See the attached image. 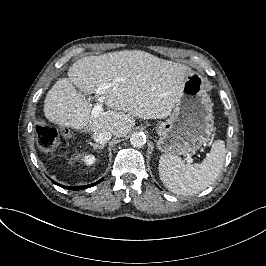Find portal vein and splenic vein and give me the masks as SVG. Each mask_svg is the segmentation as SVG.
Instances as JSON below:
<instances>
[{
    "mask_svg": "<svg viewBox=\"0 0 266 266\" xmlns=\"http://www.w3.org/2000/svg\"><path fill=\"white\" fill-rule=\"evenodd\" d=\"M115 84H116L115 81H113V82H111V83H105V84L101 85V86L98 88V91L95 92V93L93 94V100L96 101V104L93 106V109H92V115H93L94 117L98 116L100 113L103 112V110H104V104L106 103V98L100 95L101 92H102L104 89H106V88H108V87H112V86L115 85ZM192 162H193L192 159H187V160H186V163H187L188 165H190Z\"/></svg>",
    "mask_w": 266,
    "mask_h": 266,
    "instance_id": "18ae733b",
    "label": "portal vein and splenic vein"
}]
</instances>
